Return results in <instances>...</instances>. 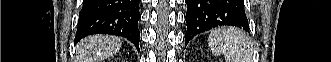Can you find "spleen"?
I'll return each instance as SVG.
<instances>
[{
  "label": "spleen",
  "mask_w": 331,
  "mask_h": 62,
  "mask_svg": "<svg viewBox=\"0 0 331 62\" xmlns=\"http://www.w3.org/2000/svg\"><path fill=\"white\" fill-rule=\"evenodd\" d=\"M208 43L214 55L224 54L226 62H251V42L241 29H216L210 33Z\"/></svg>",
  "instance_id": "spleen-1"
}]
</instances>
